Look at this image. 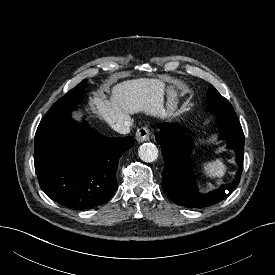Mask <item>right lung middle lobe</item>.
Masks as SVG:
<instances>
[{
	"instance_id": "dd1d6c3e",
	"label": "right lung middle lobe",
	"mask_w": 275,
	"mask_h": 275,
	"mask_svg": "<svg viewBox=\"0 0 275 275\" xmlns=\"http://www.w3.org/2000/svg\"><path fill=\"white\" fill-rule=\"evenodd\" d=\"M87 80L80 82L75 88L67 92L63 97L54 103L45 116L55 115L64 110L76 107V105L82 100L84 94V87Z\"/></svg>"
}]
</instances>
